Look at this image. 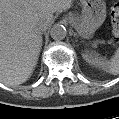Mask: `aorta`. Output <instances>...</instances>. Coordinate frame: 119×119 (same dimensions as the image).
<instances>
[{"instance_id": "762f6f07", "label": "aorta", "mask_w": 119, "mask_h": 119, "mask_svg": "<svg viewBox=\"0 0 119 119\" xmlns=\"http://www.w3.org/2000/svg\"><path fill=\"white\" fill-rule=\"evenodd\" d=\"M50 34L52 39L59 41V40H63L66 37L67 31L63 25L55 24L51 28Z\"/></svg>"}]
</instances>
